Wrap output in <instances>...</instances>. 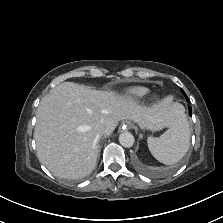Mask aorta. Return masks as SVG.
I'll use <instances>...</instances> for the list:
<instances>
[{
	"instance_id": "762f6f07",
	"label": "aorta",
	"mask_w": 223,
	"mask_h": 223,
	"mask_svg": "<svg viewBox=\"0 0 223 223\" xmlns=\"http://www.w3.org/2000/svg\"><path fill=\"white\" fill-rule=\"evenodd\" d=\"M134 141V136L130 132H123L119 136V142L123 147H131Z\"/></svg>"
}]
</instances>
